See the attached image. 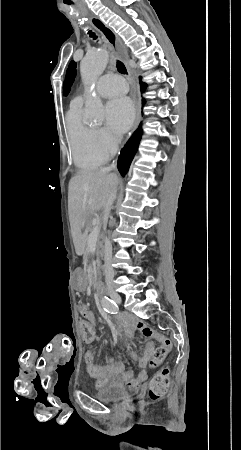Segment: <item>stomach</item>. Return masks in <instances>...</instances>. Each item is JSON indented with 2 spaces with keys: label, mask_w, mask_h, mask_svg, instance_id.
Wrapping results in <instances>:
<instances>
[{
  "label": "stomach",
  "mask_w": 241,
  "mask_h": 450,
  "mask_svg": "<svg viewBox=\"0 0 241 450\" xmlns=\"http://www.w3.org/2000/svg\"><path fill=\"white\" fill-rule=\"evenodd\" d=\"M76 281L80 286L83 285V277L79 272H76Z\"/></svg>",
  "instance_id": "stomach-1"
}]
</instances>
